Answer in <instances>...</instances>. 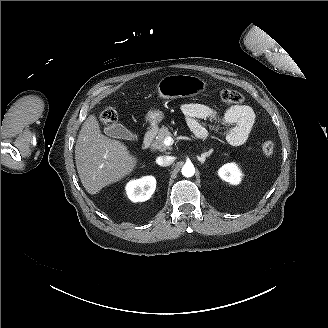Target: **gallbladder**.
I'll return each mask as SVG.
<instances>
[{
	"label": "gallbladder",
	"mask_w": 328,
	"mask_h": 328,
	"mask_svg": "<svg viewBox=\"0 0 328 328\" xmlns=\"http://www.w3.org/2000/svg\"><path fill=\"white\" fill-rule=\"evenodd\" d=\"M104 133L112 138L134 141L138 139V135L128 130L120 123H114L104 128Z\"/></svg>",
	"instance_id": "obj_1"
}]
</instances>
